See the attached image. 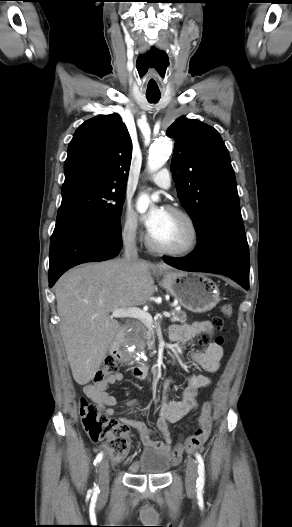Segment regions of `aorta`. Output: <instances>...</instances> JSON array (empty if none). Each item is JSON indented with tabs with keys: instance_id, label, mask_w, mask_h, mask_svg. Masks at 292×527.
<instances>
[{
	"instance_id": "obj_1",
	"label": "aorta",
	"mask_w": 292,
	"mask_h": 527,
	"mask_svg": "<svg viewBox=\"0 0 292 527\" xmlns=\"http://www.w3.org/2000/svg\"><path fill=\"white\" fill-rule=\"evenodd\" d=\"M172 151V145L168 139H161L155 142L149 149L147 167L150 172L158 171L169 159ZM157 199V197H155ZM151 204L150 197L147 194H141L137 200V210L144 213Z\"/></svg>"
}]
</instances>
